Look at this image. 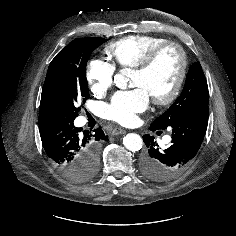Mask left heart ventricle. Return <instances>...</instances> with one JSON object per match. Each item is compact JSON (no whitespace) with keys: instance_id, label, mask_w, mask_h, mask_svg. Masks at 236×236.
<instances>
[{"instance_id":"b2bd125f","label":"left heart ventricle","mask_w":236,"mask_h":236,"mask_svg":"<svg viewBox=\"0 0 236 236\" xmlns=\"http://www.w3.org/2000/svg\"><path fill=\"white\" fill-rule=\"evenodd\" d=\"M180 67V56L177 50L169 48L161 53L153 67L146 73L134 71L132 84L144 88L149 95L164 96L175 80Z\"/></svg>"}]
</instances>
